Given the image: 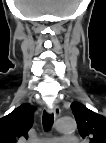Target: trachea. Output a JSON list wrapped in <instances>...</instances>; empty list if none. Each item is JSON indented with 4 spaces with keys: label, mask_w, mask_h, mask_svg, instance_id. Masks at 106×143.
<instances>
[{
    "label": "trachea",
    "mask_w": 106,
    "mask_h": 143,
    "mask_svg": "<svg viewBox=\"0 0 106 143\" xmlns=\"http://www.w3.org/2000/svg\"><path fill=\"white\" fill-rule=\"evenodd\" d=\"M54 123V115L48 114L46 111L43 112L42 124L45 131H49Z\"/></svg>",
    "instance_id": "3493384b"
}]
</instances>
